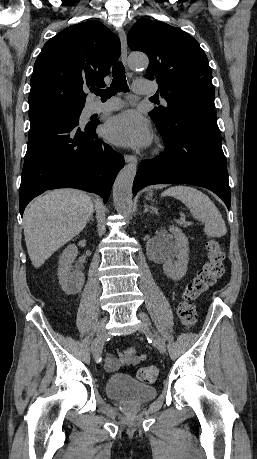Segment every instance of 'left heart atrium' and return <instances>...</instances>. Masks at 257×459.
<instances>
[{
  "label": "left heart atrium",
  "mask_w": 257,
  "mask_h": 459,
  "mask_svg": "<svg viewBox=\"0 0 257 459\" xmlns=\"http://www.w3.org/2000/svg\"><path fill=\"white\" fill-rule=\"evenodd\" d=\"M104 133L112 143L131 148L146 146L152 139L148 122L132 110L110 118L105 124Z\"/></svg>",
  "instance_id": "obj_1"
}]
</instances>
